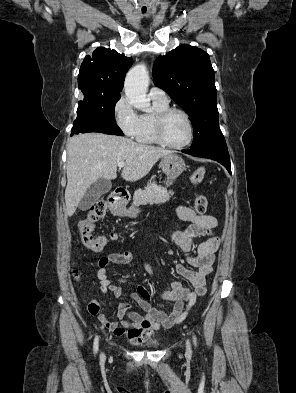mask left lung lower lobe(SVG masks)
Here are the masks:
<instances>
[{
    "label": "left lung lower lobe",
    "instance_id": "0a47b994",
    "mask_svg": "<svg viewBox=\"0 0 296 393\" xmlns=\"http://www.w3.org/2000/svg\"><path fill=\"white\" fill-rule=\"evenodd\" d=\"M182 152L202 158H209L221 163L231 174L230 157L227 145H218L199 150H182Z\"/></svg>",
    "mask_w": 296,
    "mask_h": 393
}]
</instances>
